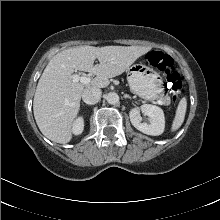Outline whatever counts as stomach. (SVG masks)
<instances>
[{
    "instance_id": "0dacf381",
    "label": "stomach",
    "mask_w": 220,
    "mask_h": 220,
    "mask_svg": "<svg viewBox=\"0 0 220 220\" xmlns=\"http://www.w3.org/2000/svg\"><path fill=\"white\" fill-rule=\"evenodd\" d=\"M128 84L133 93L146 100L160 99L164 95L161 75L143 64H135L128 69Z\"/></svg>"
}]
</instances>
